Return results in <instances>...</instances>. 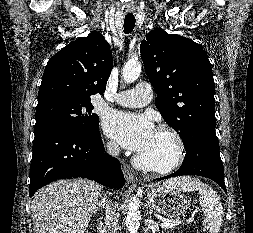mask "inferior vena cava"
<instances>
[{
	"mask_svg": "<svg viewBox=\"0 0 253 233\" xmlns=\"http://www.w3.org/2000/svg\"><path fill=\"white\" fill-rule=\"evenodd\" d=\"M109 154L118 156L120 148L115 142H110L107 145ZM105 201V224L109 233H119L120 227L118 224V214L114 207L110 205L107 197L102 198Z\"/></svg>",
	"mask_w": 253,
	"mask_h": 233,
	"instance_id": "inferior-vena-cava-1",
	"label": "inferior vena cava"
}]
</instances>
